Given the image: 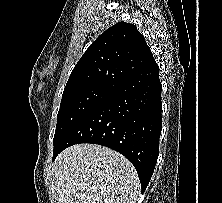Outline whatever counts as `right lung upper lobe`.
<instances>
[{"mask_svg": "<svg viewBox=\"0 0 222 203\" xmlns=\"http://www.w3.org/2000/svg\"><path fill=\"white\" fill-rule=\"evenodd\" d=\"M155 62L134 24L119 22L102 33L74 67L65 89L101 87L114 90Z\"/></svg>", "mask_w": 222, "mask_h": 203, "instance_id": "cb5924a9", "label": "right lung upper lobe"}]
</instances>
